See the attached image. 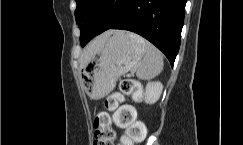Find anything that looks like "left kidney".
Returning a JSON list of instances; mask_svg holds the SVG:
<instances>
[{
	"instance_id": "obj_1",
	"label": "left kidney",
	"mask_w": 243,
	"mask_h": 145,
	"mask_svg": "<svg viewBox=\"0 0 243 145\" xmlns=\"http://www.w3.org/2000/svg\"><path fill=\"white\" fill-rule=\"evenodd\" d=\"M163 91V85L160 82H149L145 88V102L154 104L158 101Z\"/></svg>"
}]
</instances>
